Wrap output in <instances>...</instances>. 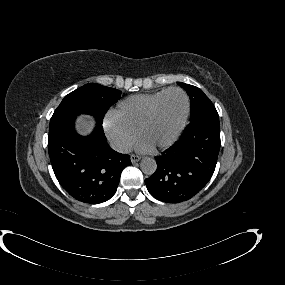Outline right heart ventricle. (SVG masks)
<instances>
[{
	"mask_svg": "<svg viewBox=\"0 0 285 285\" xmlns=\"http://www.w3.org/2000/svg\"><path fill=\"white\" fill-rule=\"evenodd\" d=\"M166 90L127 97L118 104L115 117L125 127L138 133L140 125L148 116L152 106Z\"/></svg>",
	"mask_w": 285,
	"mask_h": 285,
	"instance_id": "e07e8e85",
	"label": "right heart ventricle"
}]
</instances>
